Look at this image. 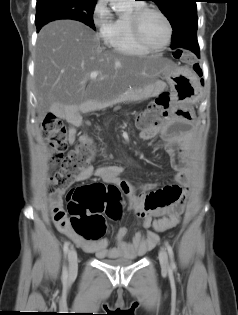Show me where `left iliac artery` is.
<instances>
[{
    "label": "left iliac artery",
    "mask_w": 238,
    "mask_h": 315,
    "mask_svg": "<svg viewBox=\"0 0 238 315\" xmlns=\"http://www.w3.org/2000/svg\"><path fill=\"white\" fill-rule=\"evenodd\" d=\"M166 248H167V251H168V254H169V257H170V267L171 269H175L176 268V264H175V261H174V252H173V248L172 246L166 242Z\"/></svg>",
    "instance_id": "left-iliac-artery-1"
}]
</instances>
